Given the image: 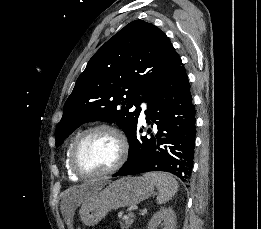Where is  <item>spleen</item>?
Returning <instances> with one entry per match:
<instances>
[{
  "label": "spleen",
  "instance_id": "3e777b00",
  "mask_svg": "<svg viewBox=\"0 0 261 229\" xmlns=\"http://www.w3.org/2000/svg\"><path fill=\"white\" fill-rule=\"evenodd\" d=\"M144 179L151 181L153 185H156L159 195L156 199L158 205L168 203L175 193L178 191V183L171 173H162V171H152V173H145Z\"/></svg>",
  "mask_w": 261,
  "mask_h": 229
}]
</instances>
